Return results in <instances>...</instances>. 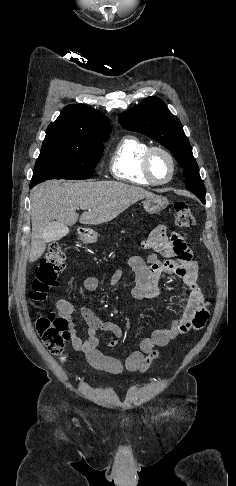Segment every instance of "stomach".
<instances>
[{
  "instance_id": "1",
  "label": "stomach",
  "mask_w": 236,
  "mask_h": 486,
  "mask_svg": "<svg viewBox=\"0 0 236 486\" xmlns=\"http://www.w3.org/2000/svg\"><path fill=\"white\" fill-rule=\"evenodd\" d=\"M169 204V201L166 197L159 196V195H153L152 197H147L143 201V207L146 212L153 214V213H158L164 208L167 207ZM96 237L92 235L91 232L88 233H83L81 235V240L85 243H91L95 241Z\"/></svg>"
}]
</instances>
